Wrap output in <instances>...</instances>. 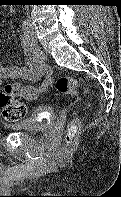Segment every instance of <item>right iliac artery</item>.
Returning a JSON list of instances; mask_svg holds the SVG:
<instances>
[{"label":"right iliac artery","mask_w":121,"mask_h":197,"mask_svg":"<svg viewBox=\"0 0 121 197\" xmlns=\"http://www.w3.org/2000/svg\"><path fill=\"white\" fill-rule=\"evenodd\" d=\"M22 27H23V33H24V37H25L26 41L32 47H34L36 49V51H40L38 49V47L36 46V44L34 43V40H33L32 36H31L30 29H29L28 25L24 22L23 25H22Z\"/></svg>","instance_id":"1"}]
</instances>
